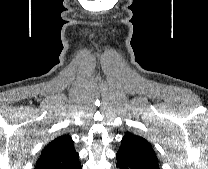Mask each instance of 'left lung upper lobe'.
<instances>
[{
    "instance_id": "left-lung-upper-lobe-1",
    "label": "left lung upper lobe",
    "mask_w": 208,
    "mask_h": 169,
    "mask_svg": "<svg viewBox=\"0 0 208 169\" xmlns=\"http://www.w3.org/2000/svg\"><path fill=\"white\" fill-rule=\"evenodd\" d=\"M118 151L125 152L147 169H160L157 156L151 144L144 138L127 132L121 140Z\"/></svg>"
}]
</instances>
